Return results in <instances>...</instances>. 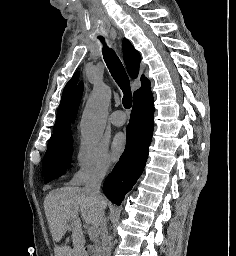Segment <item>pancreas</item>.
Here are the masks:
<instances>
[{"label":"pancreas","instance_id":"cf45deb5","mask_svg":"<svg viewBox=\"0 0 236 256\" xmlns=\"http://www.w3.org/2000/svg\"><path fill=\"white\" fill-rule=\"evenodd\" d=\"M95 232L97 233L96 236H91V240L92 242H94L95 246L93 248V252L94 254H99V248H100V244L99 242L101 241V238L99 237L100 234H99V230H95Z\"/></svg>","mask_w":236,"mask_h":256}]
</instances>
